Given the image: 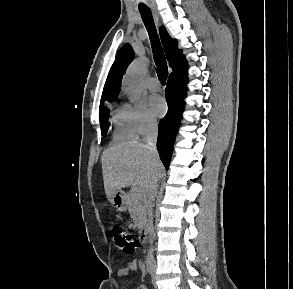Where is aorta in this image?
<instances>
[{
	"label": "aorta",
	"instance_id": "obj_1",
	"mask_svg": "<svg viewBox=\"0 0 293 289\" xmlns=\"http://www.w3.org/2000/svg\"><path fill=\"white\" fill-rule=\"evenodd\" d=\"M146 71V62L138 60L133 62L127 69L122 86L129 93L131 101H136L142 93L143 76Z\"/></svg>",
	"mask_w": 293,
	"mask_h": 289
}]
</instances>
